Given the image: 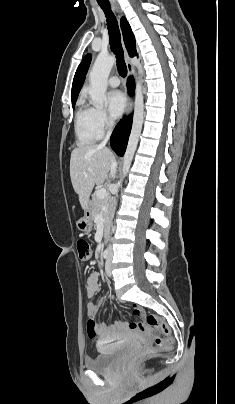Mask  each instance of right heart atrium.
<instances>
[{"label": "right heart atrium", "mask_w": 235, "mask_h": 404, "mask_svg": "<svg viewBox=\"0 0 235 404\" xmlns=\"http://www.w3.org/2000/svg\"><path fill=\"white\" fill-rule=\"evenodd\" d=\"M93 116L95 126L100 133L110 128L113 124V121L103 109L93 108Z\"/></svg>", "instance_id": "d8ad5b80"}]
</instances>
